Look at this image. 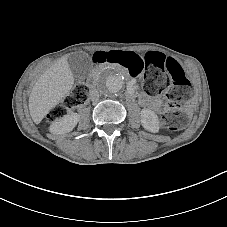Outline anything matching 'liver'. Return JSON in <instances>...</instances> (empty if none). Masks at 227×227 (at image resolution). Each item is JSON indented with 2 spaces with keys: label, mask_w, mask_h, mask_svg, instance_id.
<instances>
[{
  "label": "liver",
  "mask_w": 227,
  "mask_h": 227,
  "mask_svg": "<svg viewBox=\"0 0 227 227\" xmlns=\"http://www.w3.org/2000/svg\"><path fill=\"white\" fill-rule=\"evenodd\" d=\"M74 85V76L68 55L58 59L36 81L29 95V112L35 124L60 102L64 101Z\"/></svg>",
  "instance_id": "obj_1"
}]
</instances>
